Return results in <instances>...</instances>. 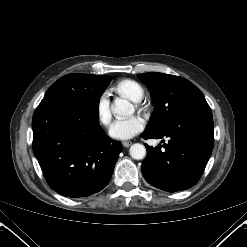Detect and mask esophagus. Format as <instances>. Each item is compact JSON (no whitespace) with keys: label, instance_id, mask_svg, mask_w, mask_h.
Listing matches in <instances>:
<instances>
[{"label":"esophagus","instance_id":"esophagus-1","mask_svg":"<svg viewBox=\"0 0 247 247\" xmlns=\"http://www.w3.org/2000/svg\"><path fill=\"white\" fill-rule=\"evenodd\" d=\"M122 144H123L124 147L128 148L129 146L132 145V142H130V141H124Z\"/></svg>","mask_w":247,"mask_h":247}]
</instances>
